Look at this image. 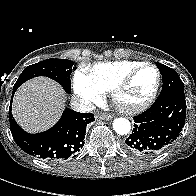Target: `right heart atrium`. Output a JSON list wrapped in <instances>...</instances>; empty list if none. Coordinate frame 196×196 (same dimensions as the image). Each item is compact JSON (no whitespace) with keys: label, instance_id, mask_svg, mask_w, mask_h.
<instances>
[{"label":"right heart atrium","instance_id":"d8ad5b80","mask_svg":"<svg viewBox=\"0 0 196 196\" xmlns=\"http://www.w3.org/2000/svg\"><path fill=\"white\" fill-rule=\"evenodd\" d=\"M74 91L87 106L102 101L104 92L93 82L84 70L78 69L74 74Z\"/></svg>","mask_w":196,"mask_h":196}]
</instances>
